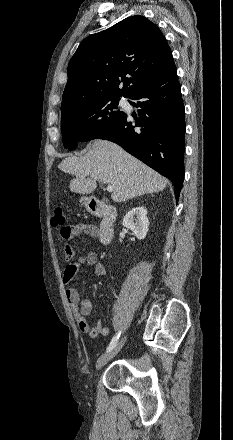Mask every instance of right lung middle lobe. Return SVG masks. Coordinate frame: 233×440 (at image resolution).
Here are the masks:
<instances>
[{
    "label": "right lung middle lobe",
    "mask_w": 233,
    "mask_h": 440,
    "mask_svg": "<svg viewBox=\"0 0 233 440\" xmlns=\"http://www.w3.org/2000/svg\"><path fill=\"white\" fill-rule=\"evenodd\" d=\"M120 98H95L61 109L62 141L74 150L79 142L100 138L125 115L117 107Z\"/></svg>",
    "instance_id": "obj_1"
}]
</instances>
